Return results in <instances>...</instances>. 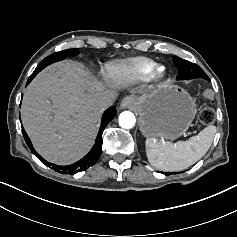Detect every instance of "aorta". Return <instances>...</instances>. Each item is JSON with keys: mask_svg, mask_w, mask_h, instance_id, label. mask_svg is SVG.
<instances>
[{"mask_svg": "<svg viewBox=\"0 0 237 237\" xmlns=\"http://www.w3.org/2000/svg\"><path fill=\"white\" fill-rule=\"evenodd\" d=\"M136 118L131 112H123L119 116V125L123 129L129 130L135 126Z\"/></svg>", "mask_w": 237, "mask_h": 237, "instance_id": "1", "label": "aorta"}]
</instances>
